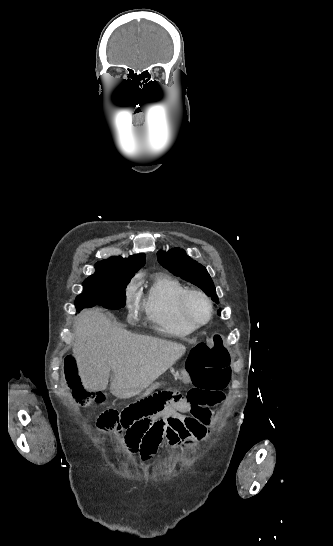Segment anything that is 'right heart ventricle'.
I'll return each mask as SVG.
<instances>
[{"instance_id":"1","label":"right heart ventricle","mask_w":333,"mask_h":546,"mask_svg":"<svg viewBox=\"0 0 333 546\" xmlns=\"http://www.w3.org/2000/svg\"><path fill=\"white\" fill-rule=\"evenodd\" d=\"M188 288L167 275L153 278L142 297V308L149 323L163 333L174 337L191 335L196 328L182 316L180 300Z\"/></svg>"}]
</instances>
